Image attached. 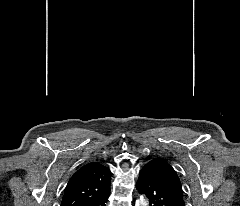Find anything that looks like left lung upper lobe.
Returning a JSON list of instances; mask_svg holds the SVG:
<instances>
[{
	"mask_svg": "<svg viewBox=\"0 0 240 206\" xmlns=\"http://www.w3.org/2000/svg\"><path fill=\"white\" fill-rule=\"evenodd\" d=\"M150 162L156 163L158 167V171L162 174L168 186L176 194V196L179 197V199L184 201L183 190L180 183V179L177 175V172L174 170V168L166 160L162 158H155Z\"/></svg>",
	"mask_w": 240,
	"mask_h": 206,
	"instance_id": "5c2ea615",
	"label": "left lung upper lobe"
}]
</instances>
